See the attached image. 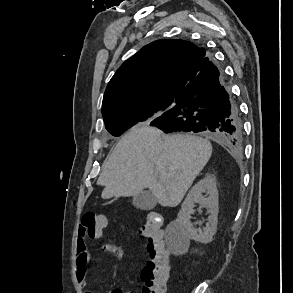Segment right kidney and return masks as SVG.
<instances>
[{"label": "right kidney", "mask_w": 293, "mask_h": 293, "mask_svg": "<svg viewBox=\"0 0 293 293\" xmlns=\"http://www.w3.org/2000/svg\"><path fill=\"white\" fill-rule=\"evenodd\" d=\"M204 193L206 195H203ZM196 203L200 205L199 211L202 208H206L209 213L206 226L198 229L190 221L191 214L195 212L193 208ZM218 211V190L216 182L212 177L208 176L191 188L182 203L177 220L181 234L187 239H193L200 243L206 244L211 242L217 231ZM201 224L202 222H200Z\"/></svg>", "instance_id": "ca27d5eb"}]
</instances>
